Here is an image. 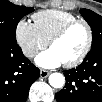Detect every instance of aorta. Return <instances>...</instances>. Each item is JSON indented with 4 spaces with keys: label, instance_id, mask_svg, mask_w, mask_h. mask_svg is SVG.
<instances>
[{
    "label": "aorta",
    "instance_id": "1",
    "mask_svg": "<svg viewBox=\"0 0 102 102\" xmlns=\"http://www.w3.org/2000/svg\"><path fill=\"white\" fill-rule=\"evenodd\" d=\"M49 84L54 88H62L65 84V78L61 73H52L49 76Z\"/></svg>",
    "mask_w": 102,
    "mask_h": 102
}]
</instances>
